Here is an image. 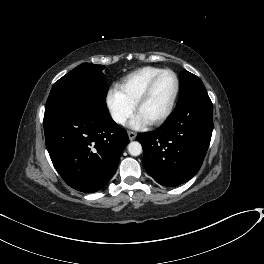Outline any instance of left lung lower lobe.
<instances>
[{"mask_svg":"<svg viewBox=\"0 0 264 264\" xmlns=\"http://www.w3.org/2000/svg\"><path fill=\"white\" fill-rule=\"evenodd\" d=\"M212 131L213 106L208 94L186 98L159 129L138 134L144 168L167 187L187 182L202 165Z\"/></svg>","mask_w":264,"mask_h":264,"instance_id":"1","label":"left lung lower lobe"}]
</instances>
